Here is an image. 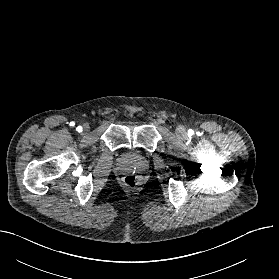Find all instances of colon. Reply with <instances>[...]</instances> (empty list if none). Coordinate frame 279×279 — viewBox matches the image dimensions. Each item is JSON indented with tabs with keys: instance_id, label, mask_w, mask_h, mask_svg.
Instances as JSON below:
<instances>
[{
	"instance_id": "colon-1",
	"label": "colon",
	"mask_w": 279,
	"mask_h": 279,
	"mask_svg": "<svg viewBox=\"0 0 279 279\" xmlns=\"http://www.w3.org/2000/svg\"><path fill=\"white\" fill-rule=\"evenodd\" d=\"M123 183L129 188H135L140 183V177L136 174H129L123 178Z\"/></svg>"
}]
</instances>
